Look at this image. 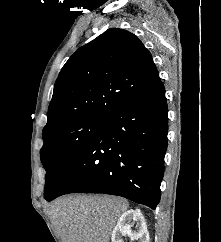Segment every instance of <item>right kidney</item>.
Here are the masks:
<instances>
[{"label":"right kidney","instance_id":"ca27d5eb","mask_svg":"<svg viewBox=\"0 0 221 242\" xmlns=\"http://www.w3.org/2000/svg\"><path fill=\"white\" fill-rule=\"evenodd\" d=\"M136 223L137 231H132L131 227ZM129 235L131 240L138 242H149V233L144 216L140 210H128L124 212L112 231V242H123L122 236Z\"/></svg>","mask_w":221,"mask_h":242}]
</instances>
